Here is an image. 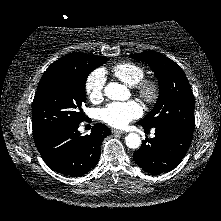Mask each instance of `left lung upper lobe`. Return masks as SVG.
I'll return each instance as SVG.
<instances>
[{"mask_svg": "<svg viewBox=\"0 0 221 221\" xmlns=\"http://www.w3.org/2000/svg\"><path fill=\"white\" fill-rule=\"evenodd\" d=\"M148 64L159 82V97L152 111L138 124L149 128L174 126L188 132L194 130V97L181 67L155 51L130 55Z\"/></svg>", "mask_w": 221, "mask_h": 221, "instance_id": "obj_1", "label": "left lung upper lobe"}]
</instances>
